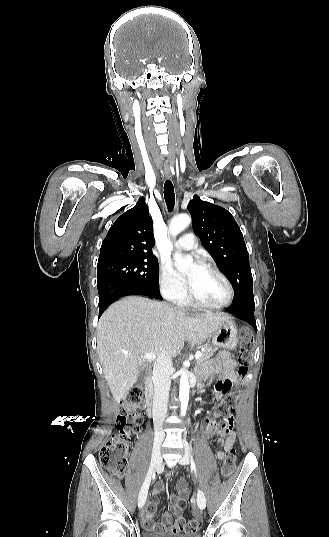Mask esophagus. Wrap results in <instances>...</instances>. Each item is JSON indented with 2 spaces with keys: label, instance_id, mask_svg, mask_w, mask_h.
<instances>
[{
  "label": "esophagus",
  "instance_id": "esophagus-1",
  "mask_svg": "<svg viewBox=\"0 0 329 537\" xmlns=\"http://www.w3.org/2000/svg\"><path fill=\"white\" fill-rule=\"evenodd\" d=\"M164 175H165L166 179H171L172 178V175H171V172H170L169 168H165Z\"/></svg>",
  "mask_w": 329,
  "mask_h": 537
}]
</instances>
